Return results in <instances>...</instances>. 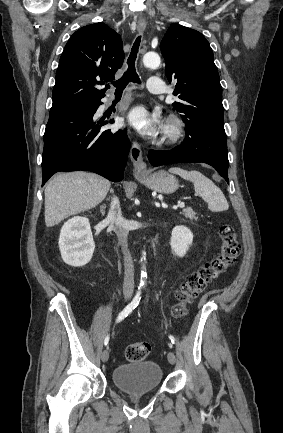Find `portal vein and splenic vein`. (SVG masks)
<instances>
[{
	"label": "portal vein and splenic vein",
	"mask_w": 283,
	"mask_h": 433,
	"mask_svg": "<svg viewBox=\"0 0 283 433\" xmlns=\"http://www.w3.org/2000/svg\"><path fill=\"white\" fill-rule=\"evenodd\" d=\"M179 206H184V202H182V204H179ZM176 208H177V206H176Z\"/></svg>",
	"instance_id": "obj_1"
}]
</instances>
